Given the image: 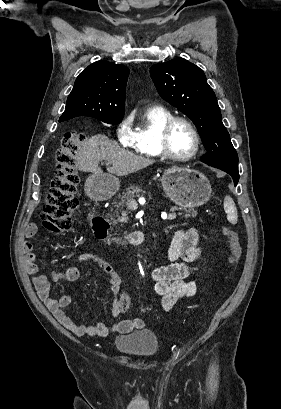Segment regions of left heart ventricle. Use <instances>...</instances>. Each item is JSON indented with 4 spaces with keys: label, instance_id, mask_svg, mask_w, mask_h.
<instances>
[{
    "label": "left heart ventricle",
    "instance_id": "left-heart-ventricle-1",
    "mask_svg": "<svg viewBox=\"0 0 281 409\" xmlns=\"http://www.w3.org/2000/svg\"><path fill=\"white\" fill-rule=\"evenodd\" d=\"M169 144L174 154L187 155L193 151L195 141L188 127L178 123L170 134Z\"/></svg>",
    "mask_w": 281,
    "mask_h": 409
}]
</instances>
